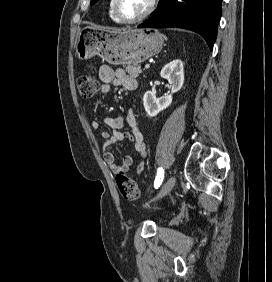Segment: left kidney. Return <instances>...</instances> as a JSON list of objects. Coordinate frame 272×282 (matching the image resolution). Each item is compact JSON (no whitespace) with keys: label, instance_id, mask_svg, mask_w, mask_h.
I'll return each instance as SVG.
<instances>
[{"label":"left kidney","instance_id":"left-kidney-1","mask_svg":"<svg viewBox=\"0 0 272 282\" xmlns=\"http://www.w3.org/2000/svg\"><path fill=\"white\" fill-rule=\"evenodd\" d=\"M160 75L162 78L167 79L170 87L171 94L157 98L155 93L147 91L143 97V105L146 113L150 117H155L158 113L165 110L172 103V94L178 92L184 83V65L179 59L173 60L166 64Z\"/></svg>","mask_w":272,"mask_h":282}]
</instances>
